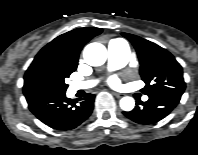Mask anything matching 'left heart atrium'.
Segmentation results:
<instances>
[{
    "mask_svg": "<svg viewBox=\"0 0 198 155\" xmlns=\"http://www.w3.org/2000/svg\"><path fill=\"white\" fill-rule=\"evenodd\" d=\"M109 83H110L111 85H116V84L118 83V80H117L116 78H111V79L109 80Z\"/></svg>",
    "mask_w": 198,
    "mask_h": 155,
    "instance_id": "39dd6f15",
    "label": "left heart atrium"
}]
</instances>
